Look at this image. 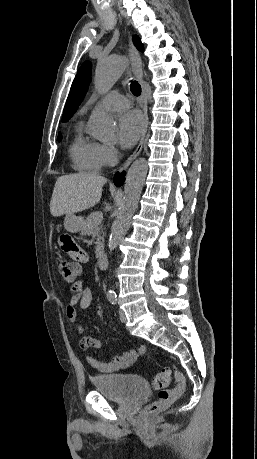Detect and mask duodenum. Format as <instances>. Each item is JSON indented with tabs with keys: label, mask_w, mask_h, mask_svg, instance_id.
<instances>
[{
	"label": "duodenum",
	"mask_w": 257,
	"mask_h": 459,
	"mask_svg": "<svg viewBox=\"0 0 257 459\" xmlns=\"http://www.w3.org/2000/svg\"><path fill=\"white\" fill-rule=\"evenodd\" d=\"M107 256L105 253H103L102 251H100L98 254H97V266L99 269H103L107 266Z\"/></svg>",
	"instance_id": "obj_1"
}]
</instances>
